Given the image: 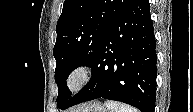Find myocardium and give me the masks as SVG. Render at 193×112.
Returning <instances> with one entry per match:
<instances>
[{"label":"myocardium","mask_w":193,"mask_h":112,"mask_svg":"<svg viewBox=\"0 0 193 112\" xmlns=\"http://www.w3.org/2000/svg\"><path fill=\"white\" fill-rule=\"evenodd\" d=\"M91 67L87 63H79L70 71L66 87L70 93L80 92L91 79Z\"/></svg>","instance_id":"f54148a6"}]
</instances>
